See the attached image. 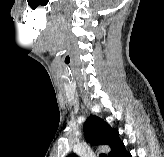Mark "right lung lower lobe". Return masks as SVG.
I'll return each instance as SVG.
<instances>
[{"label":"right lung lower lobe","instance_id":"98d812e1","mask_svg":"<svg viewBox=\"0 0 164 157\" xmlns=\"http://www.w3.org/2000/svg\"><path fill=\"white\" fill-rule=\"evenodd\" d=\"M113 157H132V156L129 152L126 151L125 145L122 142L120 146L117 148V150L114 152Z\"/></svg>","mask_w":164,"mask_h":157}]
</instances>
